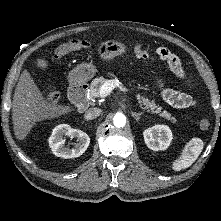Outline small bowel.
<instances>
[{"instance_id": "small-bowel-1", "label": "small bowel", "mask_w": 221, "mask_h": 221, "mask_svg": "<svg viewBox=\"0 0 221 221\" xmlns=\"http://www.w3.org/2000/svg\"><path fill=\"white\" fill-rule=\"evenodd\" d=\"M158 56L163 59V55H166L169 60L168 64L171 71L180 79H185L186 74L181 66V63L176 55L170 52L168 49L160 47L157 49ZM161 88V96L163 100L169 105L175 108H189L196 105V100L189 94L180 92L171 88H166L162 83L159 84Z\"/></svg>"}]
</instances>
